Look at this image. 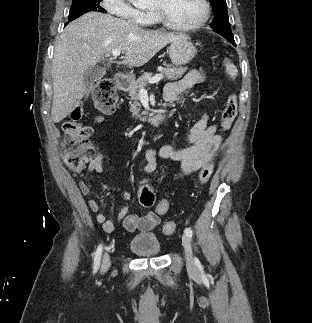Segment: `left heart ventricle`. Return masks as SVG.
<instances>
[{
	"label": "left heart ventricle",
	"mask_w": 312,
	"mask_h": 323,
	"mask_svg": "<svg viewBox=\"0 0 312 323\" xmlns=\"http://www.w3.org/2000/svg\"><path fill=\"white\" fill-rule=\"evenodd\" d=\"M161 12L172 22H193L205 16L202 0H166Z\"/></svg>",
	"instance_id": "b2bd125f"
}]
</instances>
